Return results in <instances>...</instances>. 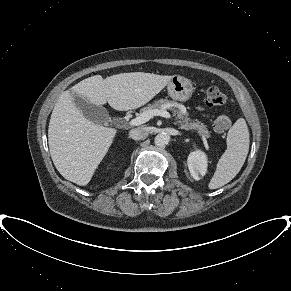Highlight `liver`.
<instances>
[{
  "label": "liver",
  "mask_w": 291,
  "mask_h": 291,
  "mask_svg": "<svg viewBox=\"0 0 291 291\" xmlns=\"http://www.w3.org/2000/svg\"><path fill=\"white\" fill-rule=\"evenodd\" d=\"M171 78L144 72L105 79L95 75L64 91L54 106L48 128L49 150L59 173L77 185H87L117 133L114 128L88 120L76 106L74 94L98 106L108 103L115 110L127 111L148 103Z\"/></svg>",
  "instance_id": "liver-1"
}]
</instances>
